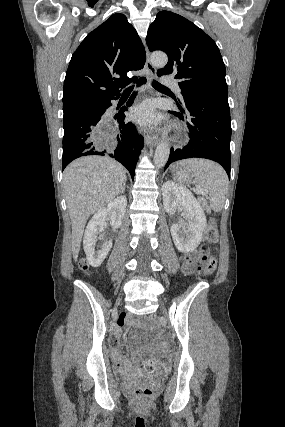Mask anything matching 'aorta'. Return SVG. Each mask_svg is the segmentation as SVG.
Masks as SVG:
<instances>
[{"label": "aorta", "mask_w": 285, "mask_h": 427, "mask_svg": "<svg viewBox=\"0 0 285 427\" xmlns=\"http://www.w3.org/2000/svg\"><path fill=\"white\" fill-rule=\"evenodd\" d=\"M168 62V57L163 52H154L151 54V63L156 68H164ZM170 146L166 140L159 142L154 155V165L162 168L168 161Z\"/></svg>", "instance_id": "762f6f07"}]
</instances>
